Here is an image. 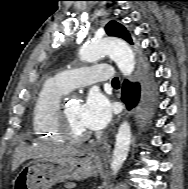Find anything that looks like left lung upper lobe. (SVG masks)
<instances>
[{"instance_id": "left-lung-upper-lobe-1", "label": "left lung upper lobe", "mask_w": 188, "mask_h": 189, "mask_svg": "<svg viewBox=\"0 0 188 189\" xmlns=\"http://www.w3.org/2000/svg\"><path fill=\"white\" fill-rule=\"evenodd\" d=\"M106 33L109 36H115L126 40L128 43L133 44L132 38L126 28L116 21H110L105 27Z\"/></svg>"}]
</instances>
